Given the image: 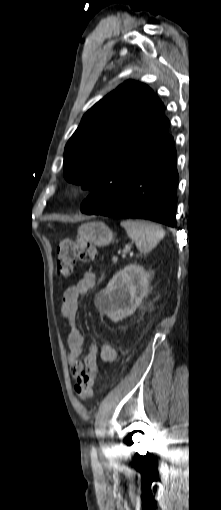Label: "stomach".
<instances>
[{"label": "stomach", "instance_id": "stomach-1", "mask_svg": "<svg viewBox=\"0 0 221 510\" xmlns=\"http://www.w3.org/2000/svg\"><path fill=\"white\" fill-rule=\"evenodd\" d=\"M78 237L101 247L110 244L114 239V234L103 222H89L78 228Z\"/></svg>", "mask_w": 221, "mask_h": 510}]
</instances>
